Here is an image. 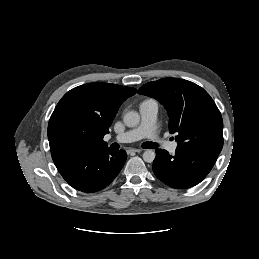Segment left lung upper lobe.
<instances>
[{"mask_svg":"<svg viewBox=\"0 0 259 259\" xmlns=\"http://www.w3.org/2000/svg\"><path fill=\"white\" fill-rule=\"evenodd\" d=\"M138 93L164 105L169 115V131L177 134V149L222 150V116L203 88L187 80L164 78L143 85Z\"/></svg>","mask_w":259,"mask_h":259,"instance_id":"obj_1","label":"left lung upper lobe"}]
</instances>
